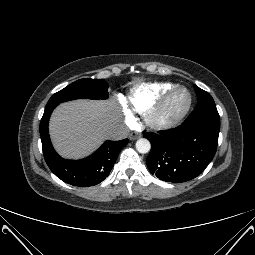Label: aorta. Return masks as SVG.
<instances>
[{"mask_svg": "<svg viewBox=\"0 0 255 255\" xmlns=\"http://www.w3.org/2000/svg\"><path fill=\"white\" fill-rule=\"evenodd\" d=\"M151 144L148 139L140 138L136 141V150L141 154H146L150 151Z\"/></svg>", "mask_w": 255, "mask_h": 255, "instance_id": "aorta-1", "label": "aorta"}]
</instances>
